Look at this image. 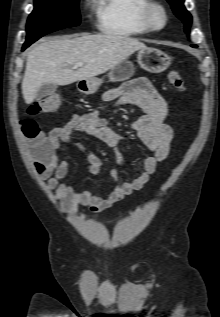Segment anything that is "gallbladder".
Wrapping results in <instances>:
<instances>
[{
    "mask_svg": "<svg viewBox=\"0 0 220 317\" xmlns=\"http://www.w3.org/2000/svg\"><path fill=\"white\" fill-rule=\"evenodd\" d=\"M57 90V85L52 83H46L41 86V88L38 90L36 94V99H42L44 97H47L53 93H55Z\"/></svg>",
    "mask_w": 220,
    "mask_h": 317,
    "instance_id": "bac80fb5",
    "label": "gallbladder"
}]
</instances>
